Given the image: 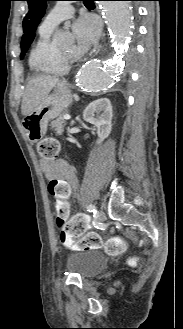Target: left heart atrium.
<instances>
[{
  "mask_svg": "<svg viewBox=\"0 0 183 329\" xmlns=\"http://www.w3.org/2000/svg\"><path fill=\"white\" fill-rule=\"evenodd\" d=\"M72 30L77 43V51L81 52L90 48L97 41L100 24L94 16L86 15L73 23Z\"/></svg>",
  "mask_w": 183,
  "mask_h": 329,
  "instance_id": "obj_1",
  "label": "left heart atrium"
}]
</instances>
